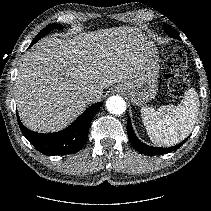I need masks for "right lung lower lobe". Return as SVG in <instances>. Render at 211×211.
Masks as SVG:
<instances>
[{
    "instance_id": "obj_1",
    "label": "right lung lower lobe",
    "mask_w": 211,
    "mask_h": 211,
    "mask_svg": "<svg viewBox=\"0 0 211 211\" xmlns=\"http://www.w3.org/2000/svg\"><path fill=\"white\" fill-rule=\"evenodd\" d=\"M102 106L101 102L87 108L69 127L51 134H40L27 129L21 123L19 127L28 141L45 155H65L80 151L88 137L89 127L95 114Z\"/></svg>"
}]
</instances>
